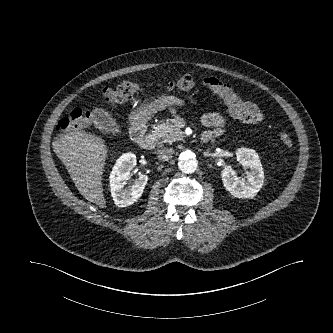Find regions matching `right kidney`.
Masks as SVG:
<instances>
[{"instance_id": "ca27d5eb", "label": "right kidney", "mask_w": 333, "mask_h": 333, "mask_svg": "<svg viewBox=\"0 0 333 333\" xmlns=\"http://www.w3.org/2000/svg\"><path fill=\"white\" fill-rule=\"evenodd\" d=\"M136 165V156L133 153H124L120 156L110 174V189L114 203L118 207H126L136 202L142 195L148 177L140 174L134 185L125 187L130 178V171Z\"/></svg>"}]
</instances>
